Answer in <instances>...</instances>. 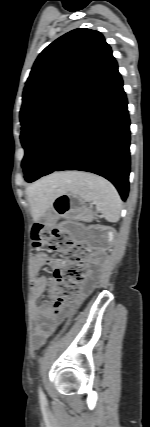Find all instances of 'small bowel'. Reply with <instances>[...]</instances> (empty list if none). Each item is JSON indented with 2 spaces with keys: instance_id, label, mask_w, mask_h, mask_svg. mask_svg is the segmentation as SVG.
I'll return each instance as SVG.
<instances>
[{
  "instance_id": "obj_1",
  "label": "small bowel",
  "mask_w": 150,
  "mask_h": 427,
  "mask_svg": "<svg viewBox=\"0 0 150 427\" xmlns=\"http://www.w3.org/2000/svg\"><path fill=\"white\" fill-rule=\"evenodd\" d=\"M62 261L60 259L56 258H50L45 255H37L33 259V270L36 274L39 273L41 268L45 265L50 266L51 268H59ZM48 285V280L44 276H37L35 279V287H36V295L39 297L41 296L44 291L46 290V287ZM66 312L62 314V316L65 315ZM36 320L38 322L34 337H33V346L34 348L41 347L46 339L50 337L54 331V324L50 321L52 320V314L48 307L43 306L36 310L35 313Z\"/></svg>"
}]
</instances>
